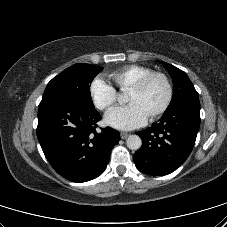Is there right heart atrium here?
<instances>
[{
  "instance_id": "obj_1",
  "label": "right heart atrium",
  "mask_w": 227,
  "mask_h": 227,
  "mask_svg": "<svg viewBox=\"0 0 227 227\" xmlns=\"http://www.w3.org/2000/svg\"><path fill=\"white\" fill-rule=\"evenodd\" d=\"M89 93L94 105L100 110L109 109L117 100L116 89L100 76L90 83Z\"/></svg>"
}]
</instances>
